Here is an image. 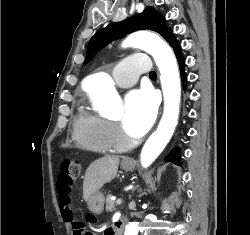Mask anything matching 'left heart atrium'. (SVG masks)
<instances>
[{
	"mask_svg": "<svg viewBox=\"0 0 250 235\" xmlns=\"http://www.w3.org/2000/svg\"><path fill=\"white\" fill-rule=\"evenodd\" d=\"M124 109V130L132 137H141L154 122L157 102L151 90L136 89L127 94Z\"/></svg>",
	"mask_w": 250,
	"mask_h": 235,
	"instance_id": "left-heart-atrium-1",
	"label": "left heart atrium"
}]
</instances>
